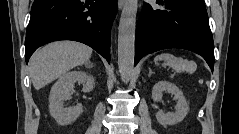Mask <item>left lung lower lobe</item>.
Masks as SVG:
<instances>
[{
  "instance_id": "0a47b994",
  "label": "left lung lower lobe",
  "mask_w": 239,
  "mask_h": 134,
  "mask_svg": "<svg viewBox=\"0 0 239 134\" xmlns=\"http://www.w3.org/2000/svg\"><path fill=\"white\" fill-rule=\"evenodd\" d=\"M144 3L135 37V61L162 49L182 48L201 55L214 68V44L204 0H157Z\"/></svg>"
}]
</instances>
